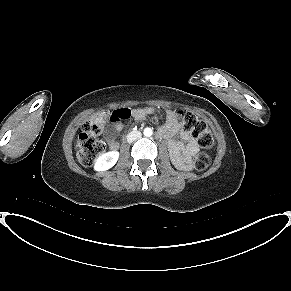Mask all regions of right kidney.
Masks as SVG:
<instances>
[{
    "instance_id": "1",
    "label": "right kidney",
    "mask_w": 291,
    "mask_h": 291,
    "mask_svg": "<svg viewBox=\"0 0 291 291\" xmlns=\"http://www.w3.org/2000/svg\"><path fill=\"white\" fill-rule=\"evenodd\" d=\"M119 158V152L110 151L99 156L94 164L96 171H106L113 167Z\"/></svg>"
}]
</instances>
